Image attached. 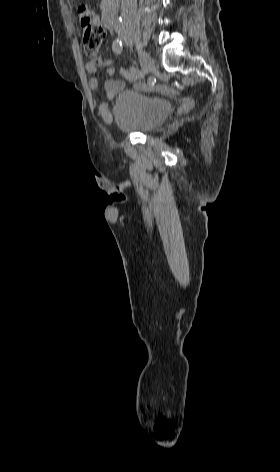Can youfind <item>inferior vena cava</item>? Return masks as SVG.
Returning a JSON list of instances; mask_svg holds the SVG:
<instances>
[{
    "instance_id": "1",
    "label": "inferior vena cava",
    "mask_w": 280,
    "mask_h": 472,
    "mask_svg": "<svg viewBox=\"0 0 280 472\" xmlns=\"http://www.w3.org/2000/svg\"><path fill=\"white\" fill-rule=\"evenodd\" d=\"M136 5L137 0H122L121 2V14L123 18L124 31L133 33L136 26Z\"/></svg>"
}]
</instances>
